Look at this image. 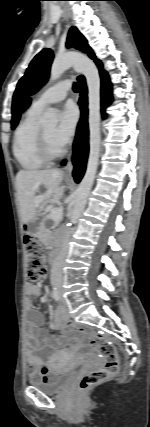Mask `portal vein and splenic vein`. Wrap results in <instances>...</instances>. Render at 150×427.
<instances>
[{
  "instance_id": "obj_1",
  "label": "portal vein and splenic vein",
  "mask_w": 150,
  "mask_h": 427,
  "mask_svg": "<svg viewBox=\"0 0 150 427\" xmlns=\"http://www.w3.org/2000/svg\"><path fill=\"white\" fill-rule=\"evenodd\" d=\"M46 199V195H39L35 197L36 203H41ZM50 219L53 221H58L62 217V209L61 208H53L50 211Z\"/></svg>"
}]
</instances>
